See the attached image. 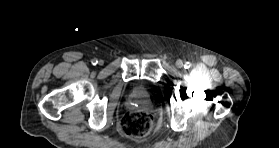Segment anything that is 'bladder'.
<instances>
[{"label":"bladder","mask_w":279,"mask_h":148,"mask_svg":"<svg viewBox=\"0 0 279 148\" xmlns=\"http://www.w3.org/2000/svg\"><path fill=\"white\" fill-rule=\"evenodd\" d=\"M136 90H137L139 93H141V94H143V95H145V96L151 95V89L148 88V87L140 86V87H137Z\"/></svg>","instance_id":"1"}]
</instances>
